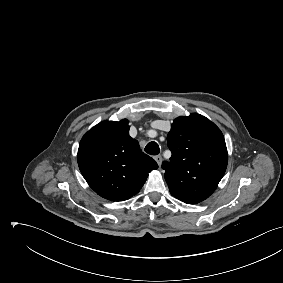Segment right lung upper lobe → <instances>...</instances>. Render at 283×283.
<instances>
[{"label": "right lung upper lobe", "instance_id": "cb5924a9", "mask_svg": "<svg viewBox=\"0 0 283 283\" xmlns=\"http://www.w3.org/2000/svg\"><path fill=\"white\" fill-rule=\"evenodd\" d=\"M79 169L89 186L110 201L136 195L148 173L158 168L129 136L128 120L103 121L82 138L77 155Z\"/></svg>", "mask_w": 283, "mask_h": 283}]
</instances>
